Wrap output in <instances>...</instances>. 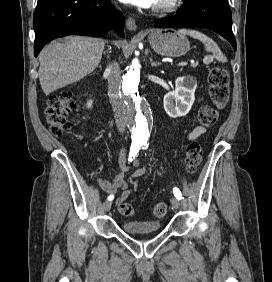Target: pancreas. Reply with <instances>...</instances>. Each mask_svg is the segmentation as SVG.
<instances>
[{
    "instance_id": "1",
    "label": "pancreas",
    "mask_w": 272,
    "mask_h": 282,
    "mask_svg": "<svg viewBox=\"0 0 272 282\" xmlns=\"http://www.w3.org/2000/svg\"><path fill=\"white\" fill-rule=\"evenodd\" d=\"M197 65H198V63L196 62V63H193L191 66H192L193 68H195Z\"/></svg>"
}]
</instances>
